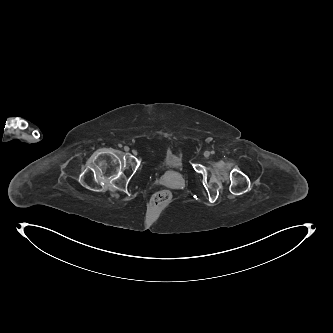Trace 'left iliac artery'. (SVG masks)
I'll list each match as a JSON object with an SVG mask.
<instances>
[{
	"instance_id": "44dca946",
	"label": "left iliac artery",
	"mask_w": 333,
	"mask_h": 333,
	"mask_svg": "<svg viewBox=\"0 0 333 333\" xmlns=\"http://www.w3.org/2000/svg\"><path fill=\"white\" fill-rule=\"evenodd\" d=\"M214 153H215V152L212 150V151H211V154H214Z\"/></svg>"
}]
</instances>
